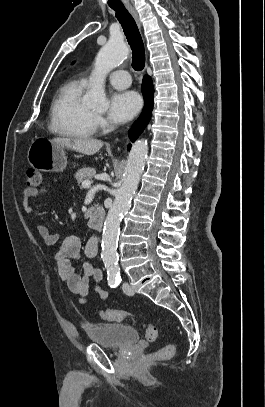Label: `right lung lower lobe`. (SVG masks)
I'll return each mask as SVG.
<instances>
[{
    "mask_svg": "<svg viewBox=\"0 0 265 407\" xmlns=\"http://www.w3.org/2000/svg\"><path fill=\"white\" fill-rule=\"evenodd\" d=\"M142 93L144 96V108L143 111L138 118V120L135 122V124L132 126L130 133H129V138L132 142H134L139 135L143 132L145 127L150 121L151 118V113L153 109V96H154V86H153V81L150 76L145 75L143 77V82H142ZM131 144L128 145V149H130Z\"/></svg>",
    "mask_w": 265,
    "mask_h": 407,
    "instance_id": "right-lung-lower-lobe-1",
    "label": "right lung lower lobe"
}]
</instances>
